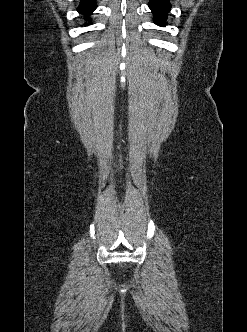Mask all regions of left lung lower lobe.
<instances>
[{
	"label": "left lung lower lobe",
	"mask_w": 247,
	"mask_h": 332,
	"mask_svg": "<svg viewBox=\"0 0 247 332\" xmlns=\"http://www.w3.org/2000/svg\"><path fill=\"white\" fill-rule=\"evenodd\" d=\"M149 7L154 15V23L165 26L168 12L171 9L169 0H150Z\"/></svg>",
	"instance_id": "0a47b994"
}]
</instances>
